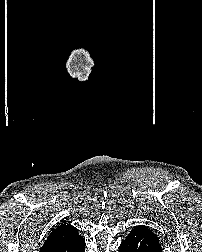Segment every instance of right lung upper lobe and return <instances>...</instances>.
<instances>
[{
    "label": "right lung upper lobe",
    "mask_w": 202,
    "mask_h": 252,
    "mask_svg": "<svg viewBox=\"0 0 202 252\" xmlns=\"http://www.w3.org/2000/svg\"><path fill=\"white\" fill-rule=\"evenodd\" d=\"M84 242L74 226L62 223L50 233L40 252H77Z\"/></svg>",
    "instance_id": "obj_1"
}]
</instances>
